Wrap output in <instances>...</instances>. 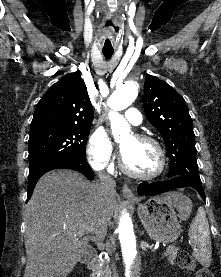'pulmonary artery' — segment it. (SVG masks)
Returning a JSON list of instances; mask_svg holds the SVG:
<instances>
[{
  "label": "pulmonary artery",
  "instance_id": "pulmonary-artery-1",
  "mask_svg": "<svg viewBox=\"0 0 221 277\" xmlns=\"http://www.w3.org/2000/svg\"><path fill=\"white\" fill-rule=\"evenodd\" d=\"M125 118L127 119V121L129 123H131L132 125H140L142 122V115L139 112V110H137L136 108H128L125 111Z\"/></svg>",
  "mask_w": 221,
  "mask_h": 277
}]
</instances>
